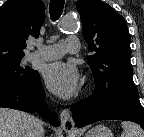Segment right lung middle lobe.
<instances>
[{
	"label": "right lung middle lobe",
	"instance_id": "dd1d6c3e",
	"mask_svg": "<svg viewBox=\"0 0 144 137\" xmlns=\"http://www.w3.org/2000/svg\"><path fill=\"white\" fill-rule=\"evenodd\" d=\"M39 79V73L36 70L21 66V59L0 66V86L29 88Z\"/></svg>",
	"mask_w": 144,
	"mask_h": 137
}]
</instances>
